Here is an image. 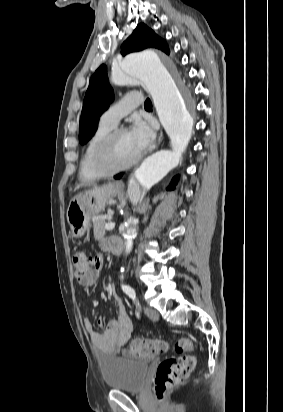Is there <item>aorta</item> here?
Instances as JSON below:
<instances>
[{
  "label": "aorta",
  "instance_id": "762f6f07",
  "mask_svg": "<svg viewBox=\"0 0 283 412\" xmlns=\"http://www.w3.org/2000/svg\"><path fill=\"white\" fill-rule=\"evenodd\" d=\"M111 81L115 85L143 84L151 94L160 122L171 140V149L149 156L133 175V182L144 189V195L145 190H149L179 164L192 135L193 119L169 62L154 50L126 56L120 62L119 70L113 71ZM136 236L135 227L126 230V253L131 252Z\"/></svg>",
  "mask_w": 283,
  "mask_h": 412
}]
</instances>
